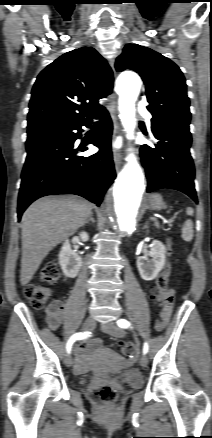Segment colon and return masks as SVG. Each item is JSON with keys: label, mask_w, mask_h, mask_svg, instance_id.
<instances>
[{"label": "colon", "mask_w": 212, "mask_h": 438, "mask_svg": "<svg viewBox=\"0 0 212 438\" xmlns=\"http://www.w3.org/2000/svg\"><path fill=\"white\" fill-rule=\"evenodd\" d=\"M167 253H170V246H168ZM168 277L169 264L167 263L157 278L155 285L150 290L151 299H157L168 291ZM59 278L60 267L55 261L47 263L40 271L41 281L49 285L56 284ZM25 296L34 308L41 309L47 304L51 297V288L41 283H31L25 288ZM118 345L121 348V352L126 356L132 355L135 350L134 345L129 342H119ZM93 394L96 399L105 403L113 402L117 398L115 388L110 385L97 388Z\"/></svg>", "instance_id": "5ec220e1"}]
</instances>
